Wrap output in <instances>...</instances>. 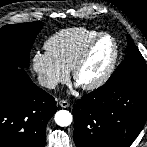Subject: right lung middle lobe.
<instances>
[{
  "mask_svg": "<svg viewBox=\"0 0 147 147\" xmlns=\"http://www.w3.org/2000/svg\"><path fill=\"white\" fill-rule=\"evenodd\" d=\"M42 27L43 22H29L0 28V61L28 68L31 47Z\"/></svg>",
  "mask_w": 147,
  "mask_h": 147,
  "instance_id": "1",
  "label": "right lung middle lobe"
}]
</instances>
